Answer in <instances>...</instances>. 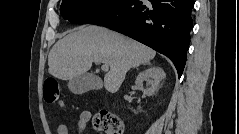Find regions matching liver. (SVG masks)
<instances>
[{
    "instance_id": "obj_1",
    "label": "liver",
    "mask_w": 239,
    "mask_h": 134,
    "mask_svg": "<svg viewBox=\"0 0 239 134\" xmlns=\"http://www.w3.org/2000/svg\"><path fill=\"white\" fill-rule=\"evenodd\" d=\"M156 52L126 36L100 26H80L53 46L48 59L49 74L70 80L85 74L93 62L106 63L110 70L104 77L107 91L120 88L132 67L149 63Z\"/></svg>"
}]
</instances>
